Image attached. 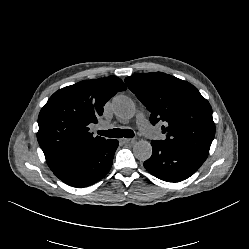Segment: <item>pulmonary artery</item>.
<instances>
[{
    "instance_id": "obj_1",
    "label": "pulmonary artery",
    "mask_w": 249,
    "mask_h": 249,
    "mask_svg": "<svg viewBox=\"0 0 249 249\" xmlns=\"http://www.w3.org/2000/svg\"><path fill=\"white\" fill-rule=\"evenodd\" d=\"M136 124L140 130H143L145 127L148 126V121L145 118L144 114L139 113L136 117ZM110 125L107 122H100L97 124V129L98 130H105L108 129Z\"/></svg>"
}]
</instances>
